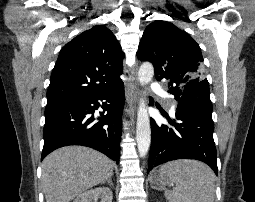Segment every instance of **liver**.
Masks as SVG:
<instances>
[{
	"label": "liver",
	"mask_w": 255,
	"mask_h": 202,
	"mask_svg": "<svg viewBox=\"0 0 255 202\" xmlns=\"http://www.w3.org/2000/svg\"><path fill=\"white\" fill-rule=\"evenodd\" d=\"M114 163L102 153L83 146L62 147L42 162L46 202H70L85 190L106 181Z\"/></svg>",
	"instance_id": "1"
}]
</instances>
